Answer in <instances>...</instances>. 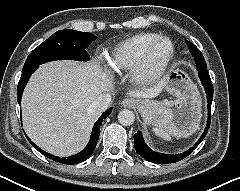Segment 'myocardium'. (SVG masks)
<instances>
[{
    "label": "myocardium",
    "mask_w": 240,
    "mask_h": 191,
    "mask_svg": "<svg viewBox=\"0 0 240 191\" xmlns=\"http://www.w3.org/2000/svg\"><path fill=\"white\" fill-rule=\"evenodd\" d=\"M164 41L168 42L170 46L169 54L159 65L152 66L151 64L152 54L157 45ZM174 56L175 46L173 41L169 37L158 36L148 45L141 58L132 67L130 73L132 80L138 84H147L157 81L166 72Z\"/></svg>",
    "instance_id": "myocardium-1"
}]
</instances>
